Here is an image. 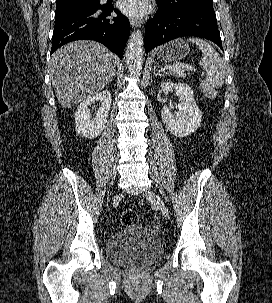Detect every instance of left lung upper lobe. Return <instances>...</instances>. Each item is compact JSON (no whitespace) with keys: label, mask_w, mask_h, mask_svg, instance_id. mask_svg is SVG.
Masks as SVG:
<instances>
[{"label":"left lung upper lobe","mask_w":272,"mask_h":303,"mask_svg":"<svg viewBox=\"0 0 272 303\" xmlns=\"http://www.w3.org/2000/svg\"><path fill=\"white\" fill-rule=\"evenodd\" d=\"M157 4L167 10L186 8L213 9V0H157Z\"/></svg>","instance_id":"obj_1"}]
</instances>
